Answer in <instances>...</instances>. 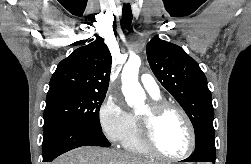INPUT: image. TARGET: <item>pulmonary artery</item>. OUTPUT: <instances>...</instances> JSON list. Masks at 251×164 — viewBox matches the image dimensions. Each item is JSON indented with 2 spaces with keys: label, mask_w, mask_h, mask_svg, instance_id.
Instances as JSON below:
<instances>
[{
  "label": "pulmonary artery",
  "mask_w": 251,
  "mask_h": 164,
  "mask_svg": "<svg viewBox=\"0 0 251 164\" xmlns=\"http://www.w3.org/2000/svg\"><path fill=\"white\" fill-rule=\"evenodd\" d=\"M141 84L147 93L153 98L160 97V89L154 78L150 74H143L140 78Z\"/></svg>",
  "instance_id": "pulmonary-artery-1"
}]
</instances>
